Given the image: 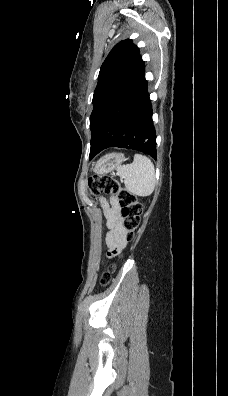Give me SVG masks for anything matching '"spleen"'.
I'll return each instance as SVG.
<instances>
[{"instance_id":"1","label":"spleen","mask_w":228,"mask_h":396,"mask_svg":"<svg viewBox=\"0 0 228 396\" xmlns=\"http://www.w3.org/2000/svg\"><path fill=\"white\" fill-rule=\"evenodd\" d=\"M117 174L124 180L126 189L137 196H149L155 188L154 165L149 158L135 154L131 164L117 167Z\"/></svg>"}]
</instances>
